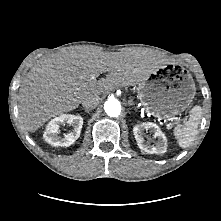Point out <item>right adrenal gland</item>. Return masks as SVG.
Wrapping results in <instances>:
<instances>
[{
  "instance_id": "2a0ac1e0",
  "label": "right adrenal gland",
  "mask_w": 221,
  "mask_h": 221,
  "mask_svg": "<svg viewBox=\"0 0 221 221\" xmlns=\"http://www.w3.org/2000/svg\"><path fill=\"white\" fill-rule=\"evenodd\" d=\"M85 112L89 113V110H85Z\"/></svg>"
}]
</instances>
